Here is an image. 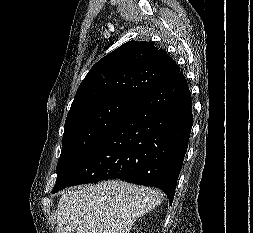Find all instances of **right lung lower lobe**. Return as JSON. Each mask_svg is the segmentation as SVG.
Instances as JSON below:
<instances>
[{
  "instance_id": "right-lung-lower-lobe-1",
  "label": "right lung lower lobe",
  "mask_w": 253,
  "mask_h": 233,
  "mask_svg": "<svg viewBox=\"0 0 253 233\" xmlns=\"http://www.w3.org/2000/svg\"><path fill=\"white\" fill-rule=\"evenodd\" d=\"M191 93L177 72L137 98L115 127L54 186L120 179L164 191L170 204L192 128Z\"/></svg>"
}]
</instances>
